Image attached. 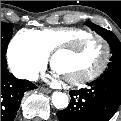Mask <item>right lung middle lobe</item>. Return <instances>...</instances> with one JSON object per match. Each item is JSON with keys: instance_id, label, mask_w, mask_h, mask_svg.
Returning <instances> with one entry per match:
<instances>
[{"instance_id": "1", "label": "right lung middle lobe", "mask_w": 121, "mask_h": 121, "mask_svg": "<svg viewBox=\"0 0 121 121\" xmlns=\"http://www.w3.org/2000/svg\"><path fill=\"white\" fill-rule=\"evenodd\" d=\"M12 25L1 22V55L6 54L9 40L12 36Z\"/></svg>"}]
</instances>
